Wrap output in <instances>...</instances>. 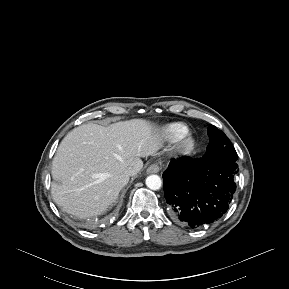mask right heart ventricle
I'll list each match as a JSON object with an SVG mask.
<instances>
[{"label": "right heart ventricle", "mask_w": 289, "mask_h": 289, "mask_svg": "<svg viewBox=\"0 0 289 289\" xmlns=\"http://www.w3.org/2000/svg\"><path fill=\"white\" fill-rule=\"evenodd\" d=\"M189 131L187 125L181 122H173L163 127L164 136L171 141L177 140L180 136Z\"/></svg>", "instance_id": "right-heart-ventricle-1"}]
</instances>
